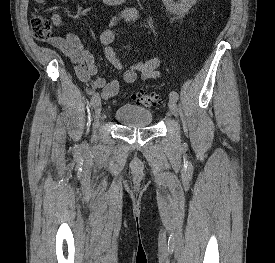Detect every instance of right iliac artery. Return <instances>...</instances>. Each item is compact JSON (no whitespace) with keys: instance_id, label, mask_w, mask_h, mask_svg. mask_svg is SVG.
<instances>
[{"instance_id":"obj_1","label":"right iliac artery","mask_w":275,"mask_h":263,"mask_svg":"<svg viewBox=\"0 0 275 263\" xmlns=\"http://www.w3.org/2000/svg\"><path fill=\"white\" fill-rule=\"evenodd\" d=\"M99 99V94L95 93L92 97H91V106L94 107L97 100Z\"/></svg>"}]
</instances>
